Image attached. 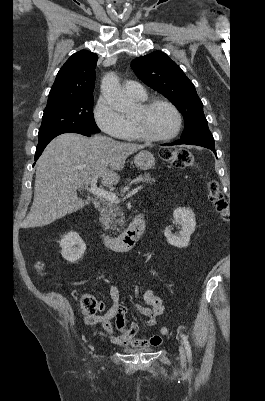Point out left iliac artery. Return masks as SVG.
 Segmentation results:
<instances>
[{
    "instance_id": "1",
    "label": "left iliac artery",
    "mask_w": 265,
    "mask_h": 401,
    "mask_svg": "<svg viewBox=\"0 0 265 401\" xmlns=\"http://www.w3.org/2000/svg\"><path fill=\"white\" fill-rule=\"evenodd\" d=\"M181 337H182V340H183V343H184V346H185V349H186L188 360L191 361L192 352H191V346H190L189 341H188V337L185 334H182Z\"/></svg>"
}]
</instances>
